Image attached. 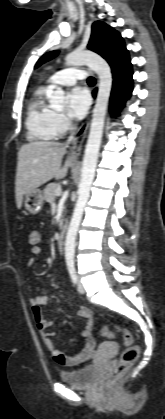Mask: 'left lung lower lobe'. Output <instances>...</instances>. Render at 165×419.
Segmentation results:
<instances>
[{"label":"left lung lower lobe","mask_w":165,"mask_h":419,"mask_svg":"<svg viewBox=\"0 0 165 419\" xmlns=\"http://www.w3.org/2000/svg\"><path fill=\"white\" fill-rule=\"evenodd\" d=\"M110 66L113 74L110 109L113 115H118L133 90L132 65L128 51H124ZM93 96H96V90H94Z\"/></svg>","instance_id":"left-lung-lower-lobe-1"}]
</instances>
